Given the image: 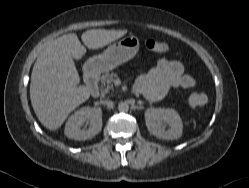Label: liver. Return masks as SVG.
Listing matches in <instances>:
<instances>
[{"label":"liver","instance_id":"1","mask_svg":"<svg viewBox=\"0 0 249 188\" xmlns=\"http://www.w3.org/2000/svg\"><path fill=\"white\" fill-rule=\"evenodd\" d=\"M127 30L93 29L81 35L89 49H99L119 39ZM86 48L75 33L63 35L51 42L38 56L31 74L30 100L43 126L55 131L68 115L90 97L84 85L79 86V74L73 59H81Z\"/></svg>","mask_w":249,"mask_h":188}]
</instances>
